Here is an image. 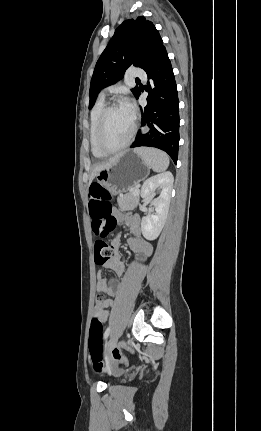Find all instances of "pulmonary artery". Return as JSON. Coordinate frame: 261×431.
<instances>
[{
    "instance_id": "pulmonary-artery-1",
    "label": "pulmonary artery",
    "mask_w": 261,
    "mask_h": 431,
    "mask_svg": "<svg viewBox=\"0 0 261 431\" xmlns=\"http://www.w3.org/2000/svg\"><path fill=\"white\" fill-rule=\"evenodd\" d=\"M130 75L132 77L140 78V79H145L146 78L145 71H143L142 69H139V68H132L130 70Z\"/></svg>"
}]
</instances>
